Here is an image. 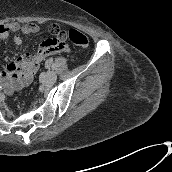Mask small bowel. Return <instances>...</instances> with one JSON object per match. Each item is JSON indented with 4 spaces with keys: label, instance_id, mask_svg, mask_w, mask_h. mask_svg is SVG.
I'll return each instance as SVG.
<instances>
[{
    "label": "small bowel",
    "instance_id": "c3829d8e",
    "mask_svg": "<svg viewBox=\"0 0 172 172\" xmlns=\"http://www.w3.org/2000/svg\"><path fill=\"white\" fill-rule=\"evenodd\" d=\"M51 28H58L56 25ZM39 27L36 24L20 25L18 23H11L0 25V42L5 41L9 37L10 32H15L13 36V42L16 45L23 43L22 34L29 35L31 33L38 32ZM68 50L67 45L64 42L57 43L54 39L43 41L35 54H24L11 68L9 77L14 82L16 89H21L27 86L33 79L36 71L39 68L40 62L45 57Z\"/></svg>",
    "mask_w": 172,
    "mask_h": 172
}]
</instances>
